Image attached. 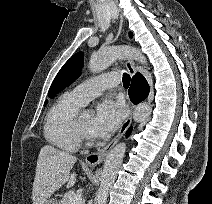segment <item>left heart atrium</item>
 I'll list each match as a JSON object with an SVG mask.
<instances>
[{
    "label": "left heart atrium",
    "instance_id": "1",
    "mask_svg": "<svg viewBox=\"0 0 212 204\" xmlns=\"http://www.w3.org/2000/svg\"><path fill=\"white\" fill-rule=\"evenodd\" d=\"M124 106L110 99L103 100L97 106L91 128V136L102 138L113 133L124 117Z\"/></svg>",
    "mask_w": 212,
    "mask_h": 204
}]
</instances>
